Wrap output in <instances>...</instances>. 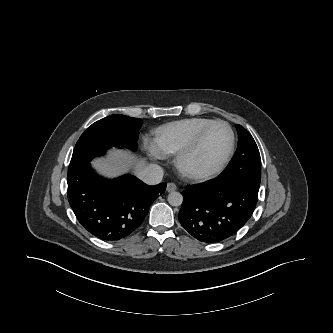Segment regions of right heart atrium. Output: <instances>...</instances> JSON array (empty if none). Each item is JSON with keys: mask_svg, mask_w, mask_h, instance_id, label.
Returning <instances> with one entry per match:
<instances>
[{"mask_svg": "<svg viewBox=\"0 0 333 333\" xmlns=\"http://www.w3.org/2000/svg\"><path fill=\"white\" fill-rule=\"evenodd\" d=\"M148 152L150 153V155L154 156V157H160L161 154L157 151V149L153 146H149L148 147Z\"/></svg>", "mask_w": 333, "mask_h": 333, "instance_id": "d8ad5b80", "label": "right heart atrium"}]
</instances>
